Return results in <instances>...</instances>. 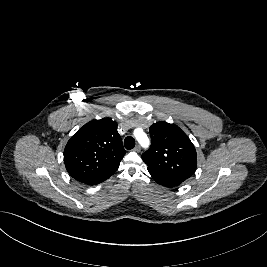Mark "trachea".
I'll return each mask as SVG.
<instances>
[{"mask_svg": "<svg viewBox=\"0 0 267 267\" xmlns=\"http://www.w3.org/2000/svg\"><path fill=\"white\" fill-rule=\"evenodd\" d=\"M124 146L127 150H131L135 146V140L133 137L128 136L124 140Z\"/></svg>", "mask_w": 267, "mask_h": 267, "instance_id": "trachea-1", "label": "trachea"}]
</instances>
